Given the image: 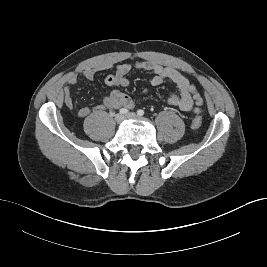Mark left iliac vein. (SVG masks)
Listing matches in <instances>:
<instances>
[{
    "label": "left iliac vein",
    "instance_id": "4c4485c4",
    "mask_svg": "<svg viewBox=\"0 0 267 267\" xmlns=\"http://www.w3.org/2000/svg\"><path fill=\"white\" fill-rule=\"evenodd\" d=\"M137 115L135 113H130L126 116V118H136Z\"/></svg>",
    "mask_w": 267,
    "mask_h": 267
}]
</instances>
